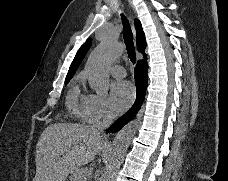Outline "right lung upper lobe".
I'll use <instances>...</instances> for the list:
<instances>
[{"label":"right lung upper lobe","instance_id":"obj_1","mask_svg":"<svg viewBox=\"0 0 228 181\" xmlns=\"http://www.w3.org/2000/svg\"><path fill=\"white\" fill-rule=\"evenodd\" d=\"M135 27H136V40H137V49L140 53H142L143 55L145 54V48H146V40H145V34L143 32L142 26L140 24V22L135 19ZM92 43V39L89 38L87 39V41L81 46V48L79 49V51L77 52L71 67L68 71V74L66 76L65 81L70 80L73 75L75 74L78 66L80 65V63L82 62L83 58L85 57L87 51L89 50L90 46Z\"/></svg>","mask_w":228,"mask_h":181}]
</instances>
